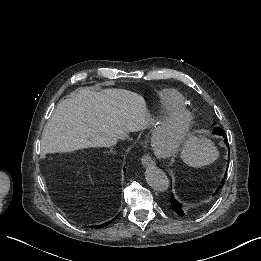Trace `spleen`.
<instances>
[{
	"label": "spleen",
	"instance_id": "spleen-1",
	"mask_svg": "<svg viewBox=\"0 0 261 261\" xmlns=\"http://www.w3.org/2000/svg\"><path fill=\"white\" fill-rule=\"evenodd\" d=\"M181 157L186 164L192 167H201L216 160L218 152L212 144L197 137H191L184 146Z\"/></svg>",
	"mask_w": 261,
	"mask_h": 261
}]
</instances>
